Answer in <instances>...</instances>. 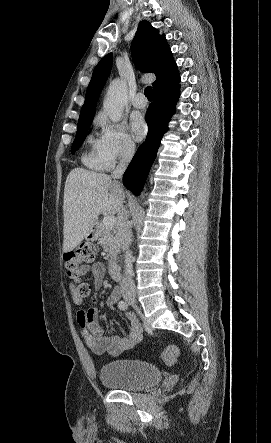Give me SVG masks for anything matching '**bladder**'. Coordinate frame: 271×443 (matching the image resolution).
I'll use <instances>...</instances> for the list:
<instances>
[{"mask_svg":"<svg viewBox=\"0 0 271 443\" xmlns=\"http://www.w3.org/2000/svg\"><path fill=\"white\" fill-rule=\"evenodd\" d=\"M99 377L107 388L133 391L158 384L162 373L157 366L146 361L118 359L104 364Z\"/></svg>","mask_w":271,"mask_h":443,"instance_id":"obj_1","label":"bladder"}]
</instances>
